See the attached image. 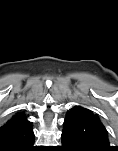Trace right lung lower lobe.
Listing matches in <instances>:
<instances>
[{"mask_svg":"<svg viewBox=\"0 0 118 151\" xmlns=\"http://www.w3.org/2000/svg\"><path fill=\"white\" fill-rule=\"evenodd\" d=\"M36 150L35 147L33 146V143H31L30 145H28L27 147L19 150V151H34Z\"/></svg>","mask_w":118,"mask_h":151,"instance_id":"98d812e1","label":"right lung lower lobe"}]
</instances>
